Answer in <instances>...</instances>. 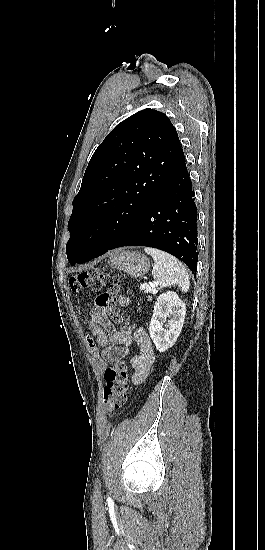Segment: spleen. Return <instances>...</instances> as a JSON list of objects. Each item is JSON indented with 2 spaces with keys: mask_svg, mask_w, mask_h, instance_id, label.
<instances>
[{
  "mask_svg": "<svg viewBox=\"0 0 265 550\" xmlns=\"http://www.w3.org/2000/svg\"><path fill=\"white\" fill-rule=\"evenodd\" d=\"M144 250L154 260L152 275L159 287L177 285L182 291H188L189 275L178 259L159 249L145 247Z\"/></svg>",
  "mask_w": 265,
  "mask_h": 550,
  "instance_id": "1",
  "label": "spleen"
}]
</instances>
